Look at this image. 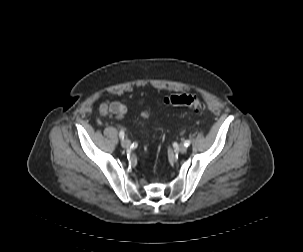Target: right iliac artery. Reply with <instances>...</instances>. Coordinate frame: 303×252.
<instances>
[{
  "instance_id": "obj_1",
  "label": "right iliac artery",
  "mask_w": 303,
  "mask_h": 252,
  "mask_svg": "<svg viewBox=\"0 0 303 252\" xmlns=\"http://www.w3.org/2000/svg\"><path fill=\"white\" fill-rule=\"evenodd\" d=\"M119 136H120V138H121V139H123V138H124V131H123V130H121V131H120Z\"/></svg>"
}]
</instances>
